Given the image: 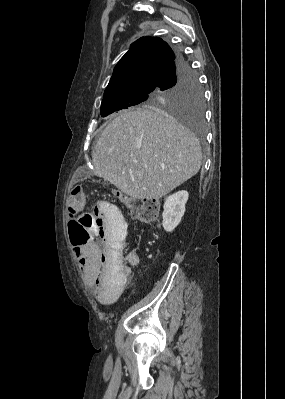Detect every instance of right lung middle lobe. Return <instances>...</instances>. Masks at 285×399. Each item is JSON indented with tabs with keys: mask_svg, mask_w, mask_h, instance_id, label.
<instances>
[{
	"mask_svg": "<svg viewBox=\"0 0 285 399\" xmlns=\"http://www.w3.org/2000/svg\"><path fill=\"white\" fill-rule=\"evenodd\" d=\"M138 105L143 108L163 110L195 127L203 120V94L198 79L189 69L174 83L156 89H139L104 96L101 116Z\"/></svg>",
	"mask_w": 285,
	"mask_h": 399,
	"instance_id": "obj_1",
	"label": "right lung middle lobe"
}]
</instances>
